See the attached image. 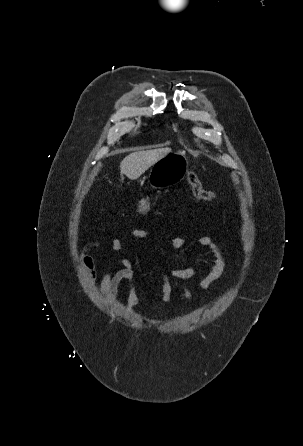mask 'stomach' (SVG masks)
<instances>
[{
	"label": "stomach",
	"mask_w": 303,
	"mask_h": 446,
	"mask_svg": "<svg viewBox=\"0 0 303 446\" xmlns=\"http://www.w3.org/2000/svg\"><path fill=\"white\" fill-rule=\"evenodd\" d=\"M188 172V159L182 153H172L157 161L148 176L152 188L163 189L180 182Z\"/></svg>",
	"instance_id": "obj_1"
}]
</instances>
